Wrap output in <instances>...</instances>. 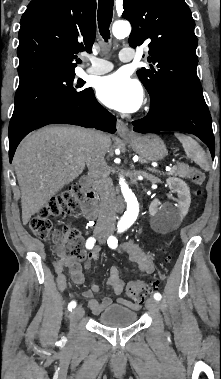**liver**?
<instances>
[{
	"instance_id": "6515ba94",
	"label": "liver",
	"mask_w": 221,
	"mask_h": 379,
	"mask_svg": "<svg viewBox=\"0 0 221 379\" xmlns=\"http://www.w3.org/2000/svg\"><path fill=\"white\" fill-rule=\"evenodd\" d=\"M88 131L79 127L47 126L22 140L13 164L21 189L24 225L83 172ZM99 144L105 155L111 145L110 137L100 133Z\"/></svg>"
}]
</instances>
